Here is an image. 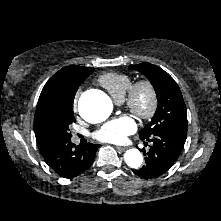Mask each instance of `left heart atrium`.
Masks as SVG:
<instances>
[{"label":"left heart atrium","mask_w":221,"mask_h":221,"mask_svg":"<svg viewBox=\"0 0 221 221\" xmlns=\"http://www.w3.org/2000/svg\"><path fill=\"white\" fill-rule=\"evenodd\" d=\"M135 130V121L131 117L124 115L102 125L96 131L95 136L103 142L123 143Z\"/></svg>","instance_id":"1"}]
</instances>
